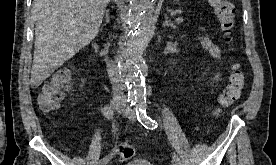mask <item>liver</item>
I'll return each mask as SVG.
<instances>
[{"instance_id":"1","label":"liver","mask_w":276,"mask_h":165,"mask_svg":"<svg viewBox=\"0 0 276 165\" xmlns=\"http://www.w3.org/2000/svg\"><path fill=\"white\" fill-rule=\"evenodd\" d=\"M110 0H34L35 47L30 83L40 86L98 34Z\"/></svg>"}]
</instances>
